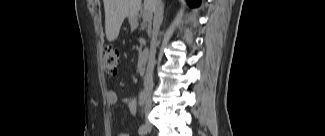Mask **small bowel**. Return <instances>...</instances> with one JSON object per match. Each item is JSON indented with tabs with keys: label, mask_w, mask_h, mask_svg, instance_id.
I'll return each instance as SVG.
<instances>
[{
	"label": "small bowel",
	"mask_w": 325,
	"mask_h": 136,
	"mask_svg": "<svg viewBox=\"0 0 325 136\" xmlns=\"http://www.w3.org/2000/svg\"><path fill=\"white\" fill-rule=\"evenodd\" d=\"M106 100L109 105L116 104L118 102V95L113 90H108L106 93ZM125 108L133 115H137L139 112L138 104L136 99L129 98L123 101ZM121 136H126V134H121Z\"/></svg>",
	"instance_id": "1"
}]
</instances>
